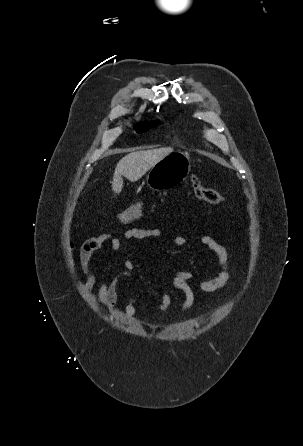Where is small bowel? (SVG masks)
<instances>
[{
    "instance_id": "obj_1",
    "label": "small bowel",
    "mask_w": 303,
    "mask_h": 446,
    "mask_svg": "<svg viewBox=\"0 0 303 446\" xmlns=\"http://www.w3.org/2000/svg\"><path fill=\"white\" fill-rule=\"evenodd\" d=\"M165 234L162 228H131L126 230L121 237H112L110 234H102L96 237L86 239L79 251V262L86 275V279L80 282L81 288L85 292H91L96 284V277L93 272V254L100 250L106 241H110L111 249L113 251H120L125 241H143L149 239L160 238ZM200 244L210 251L216 257V266L214 271L204 280L200 282V287L204 291H214L217 288L226 287L230 284V273L228 254L224 246L217 242L211 236H202L199 240ZM175 248H183L187 244V239L184 236L178 235L172 239ZM123 270L113 279L105 281L100 286L98 292L99 303L108 310H112L117 303V285L121 278L129 277L133 272L135 265L132 260H124L122 262ZM193 273L190 270H177L171 278H168L164 283V292L161 303L159 304L156 313L166 311L171 304V291L177 290L184 296V302L181 312H187L194 303V293L188 284V280ZM137 298L132 295L123 313L132 321L138 319L136 315Z\"/></svg>"
}]
</instances>
